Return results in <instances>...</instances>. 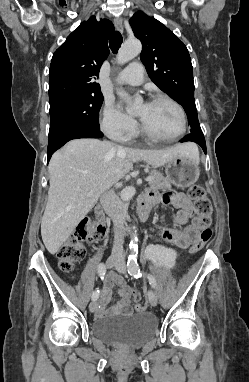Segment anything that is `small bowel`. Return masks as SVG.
<instances>
[{"label":"small bowel","mask_w":249,"mask_h":382,"mask_svg":"<svg viewBox=\"0 0 249 382\" xmlns=\"http://www.w3.org/2000/svg\"><path fill=\"white\" fill-rule=\"evenodd\" d=\"M145 199L150 205H171L177 209L173 215V220L179 228H164L162 234L165 239L178 247H188L198 238V228L193 224H187L194 216V206L186 195L183 193L166 192L160 196L154 191H149ZM112 286L119 288L120 299L115 306L107 308ZM133 293V289L126 284L122 276L116 273H109L96 309L98 316L105 317L117 314H129L131 312L130 296ZM134 294L135 296H139L136 292Z\"/></svg>","instance_id":"small-bowel-1"}]
</instances>
